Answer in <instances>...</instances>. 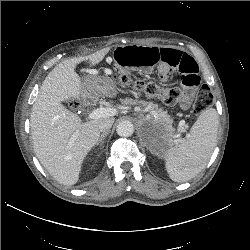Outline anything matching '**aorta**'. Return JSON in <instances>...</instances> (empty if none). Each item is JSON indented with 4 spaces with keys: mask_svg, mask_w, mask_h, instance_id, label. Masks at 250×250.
<instances>
[{
    "mask_svg": "<svg viewBox=\"0 0 250 250\" xmlns=\"http://www.w3.org/2000/svg\"><path fill=\"white\" fill-rule=\"evenodd\" d=\"M116 132L121 137H129L134 133V126L132 122L124 120L117 125Z\"/></svg>",
    "mask_w": 250,
    "mask_h": 250,
    "instance_id": "1",
    "label": "aorta"
}]
</instances>
